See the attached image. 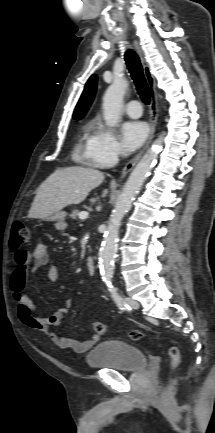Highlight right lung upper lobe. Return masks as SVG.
Instances as JSON below:
<instances>
[{
	"mask_svg": "<svg viewBox=\"0 0 215 433\" xmlns=\"http://www.w3.org/2000/svg\"><path fill=\"white\" fill-rule=\"evenodd\" d=\"M97 77L93 74L86 83L85 89L73 113L74 119H82L90 107L96 92Z\"/></svg>",
	"mask_w": 215,
	"mask_h": 433,
	"instance_id": "cb5924a9",
	"label": "right lung upper lobe"
}]
</instances>
